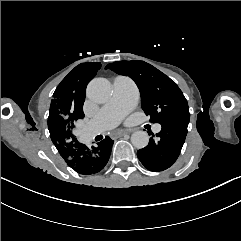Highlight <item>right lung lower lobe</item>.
I'll return each mask as SVG.
<instances>
[{
  "label": "right lung lower lobe",
  "mask_w": 241,
  "mask_h": 241,
  "mask_svg": "<svg viewBox=\"0 0 241 241\" xmlns=\"http://www.w3.org/2000/svg\"><path fill=\"white\" fill-rule=\"evenodd\" d=\"M113 140L108 136L96 146L87 147L77 140L72 144L58 148L67 165L80 174L91 175L101 171L107 164Z\"/></svg>",
  "instance_id": "obj_1"
}]
</instances>
